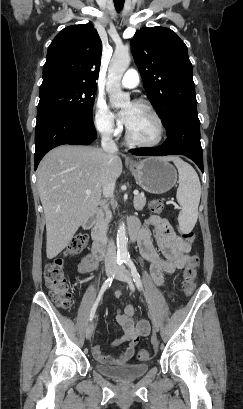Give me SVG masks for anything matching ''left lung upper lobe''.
<instances>
[{
	"label": "left lung upper lobe",
	"mask_w": 243,
	"mask_h": 409,
	"mask_svg": "<svg viewBox=\"0 0 243 409\" xmlns=\"http://www.w3.org/2000/svg\"><path fill=\"white\" fill-rule=\"evenodd\" d=\"M131 50L164 127L182 109L197 105L187 47L175 32L165 27L142 28L131 40Z\"/></svg>",
	"instance_id": "1"
}]
</instances>
